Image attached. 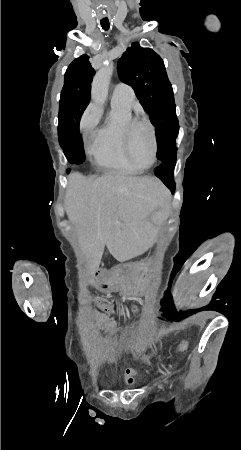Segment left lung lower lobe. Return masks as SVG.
Listing matches in <instances>:
<instances>
[{"mask_svg":"<svg viewBox=\"0 0 241 450\" xmlns=\"http://www.w3.org/2000/svg\"><path fill=\"white\" fill-rule=\"evenodd\" d=\"M176 163V151L164 161H161L159 167L155 170V175L174 192L175 182L173 181L174 167Z\"/></svg>","mask_w":241,"mask_h":450,"instance_id":"1","label":"left lung lower lobe"}]
</instances>
